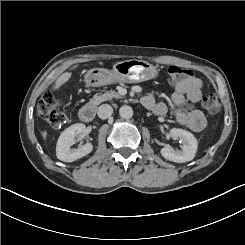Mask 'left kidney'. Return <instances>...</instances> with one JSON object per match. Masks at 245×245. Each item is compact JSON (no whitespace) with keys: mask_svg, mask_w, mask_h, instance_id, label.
I'll return each instance as SVG.
<instances>
[{"mask_svg":"<svg viewBox=\"0 0 245 245\" xmlns=\"http://www.w3.org/2000/svg\"><path fill=\"white\" fill-rule=\"evenodd\" d=\"M169 136L173 139H180L183 143L182 150H174L167 145L161 149V155L170 161L177 163H184L194 159L198 143L194 135L186 130L179 128H172Z\"/></svg>","mask_w":245,"mask_h":245,"instance_id":"1","label":"left kidney"}]
</instances>
